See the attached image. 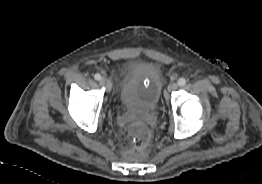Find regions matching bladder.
I'll use <instances>...</instances> for the list:
<instances>
[{
    "label": "bladder",
    "mask_w": 262,
    "mask_h": 184,
    "mask_svg": "<svg viewBox=\"0 0 262 184\" xmlns=\"http://www.w3.org/2000/svg\"><path fill=\"white\" fill-rule=\"evenodd\" d=\"M163 75L148 65L129 69L119 93L122 108L130 114L153 110L161 98Z\"/></svg>",
    "instance_id": "bladder-1"
}]
</instances>
